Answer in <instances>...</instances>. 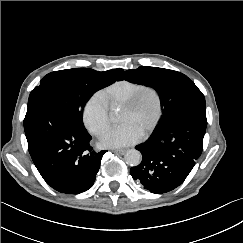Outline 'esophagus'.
I'll list each match as a JSON object with an SVG mask.
<instances>
[{"instance_id": "obj_1", "label": "esophagus", "mask_w": 243, "mask_h": 243, "mask_svg": "<svg viewBox=\"0 0 243 243\" xmlns=\"http://www.w3.org/2000/svg\"><path fill=\"white\" fill-rule=\"evenodd\" d=\"M114 152L117 154L123 155V154H125L126 150L125 149H116V150H114Z\"/></svg>"}]
</instances>
